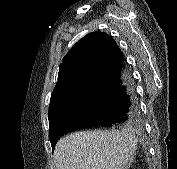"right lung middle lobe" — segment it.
I'll return each mask as SVG.
<instances>
[{
  "label": "right lung middle lobe",
  "mask_w": 177,
  "mask_h": 169,
  "mask_svg": "<svg viewBox=\"0 0 177 169\" xmlns=\"http://www.w3.org/2000/svg\"><path fill=\"white\" fill-rule=\"evenodd\" d=\"M90 82H85L75 90L49 106V138L53 136L58 124L65 118L79 113L91 98Z\"/></svg>",
  "instance_id": "obj_1"
}]
</instances>
